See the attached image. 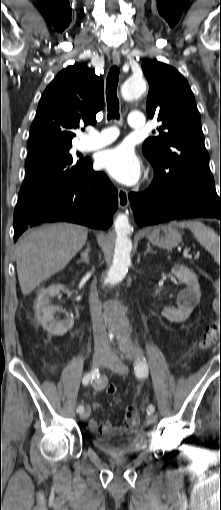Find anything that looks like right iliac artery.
Wrapping results in <instances>:
<instances>
[{
    "instance_id": "right-iliac-artery-1",
    "label": "right iliac artery",
    "mask_w": 221,
    "mask_h": 510,
    "mask_svg": "<svg viewBox=\"0 0 221 510\" xmlns=\"http://www.w3.org/2000/svg\"><path fill=\"white\" fill-rule=\"evenodd\" d=\"M98 377H99V369L94 368L92 371H90L83 377L82 383H83V385H87L90 381L92 382L93 379H96ZM83 411H84V406L79 405L77 408V412L82 413Z\"/></svg>"
}]
</instances>
